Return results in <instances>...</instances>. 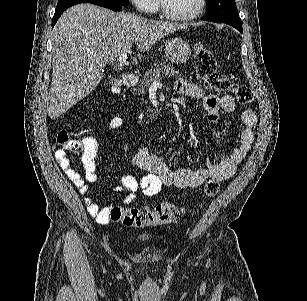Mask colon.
<instances>
[{"label":"colon","mask_w":307,"mask_h":301,"mask_svg":"<svg viewBox=\"0 0 307 301\" xmlns=\"http://www.w3.org/2000/svg\"><path fill=\"white\" fill-rule=\"evenodd\" d=\"M194 63L198 76L207 88L217 92H232L241 104H249L254 100V93L251 88L235 83L230 77L217 72L214 54L206 45L202 43L196 44ZM108 85L112 92L117 93L120 91L121 83L119 80H111ZM57 144L72 153H79L83 149L82 140L73 137L65 130L58 134ZM218 191V181L210 179L204 184L202 197L204 199L213 198ZM183 212L182 208L169 202L159 203L154 208L147 210L114 206L110 211V219L127 227L143 228L170 224L176 221Z\"/></svg>","instance_id":"5ec220e1"}]
</instances>
